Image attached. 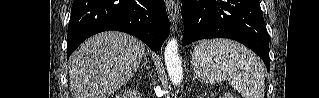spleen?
I'll return each instance as SVG.
<instances>
[{
    "mask_svg": "<svg viewBox=\"0 0 319 98\" xmlns=\"http://www.w3.org/2000/svg\"><path fill=\"white\" fill-rule=\"evenodd\" d=\"M192 66L204 81H228L245 98H264L262 62L241 44L227 39L204 40L192 54Z\"/></svg>",
    "mask_w": 319,
    "mask_h": 98,
    "instance_id": "spleen-1",
    "label": "spleen"
}]
</instances>
